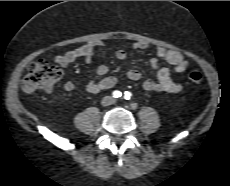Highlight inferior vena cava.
Returning <instances> with one entry per match:
<instances>
[{
	"mask_svg": "<svg viewBox=\"0 0 230 186\" xmlns=\"http://www.w3.org/2000/svg\"><path fill=\"white\" fill-rule=\"evenodd\" d=\"M114 98H112L111 96H106L104 97L103 101H102V105L104 106H108L114 103Z\"/></svg>",
	"mask_w": 230,
	"mask_h": 186,
	"instance_id": "602c4592",
	"label": "inferior vena cava"
}]
</instances>
